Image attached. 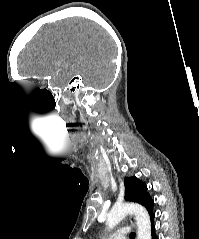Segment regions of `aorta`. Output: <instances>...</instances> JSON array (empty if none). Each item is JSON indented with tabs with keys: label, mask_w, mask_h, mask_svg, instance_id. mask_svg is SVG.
<instances>
[{
	"label": "aorta",
	"mask_w": 199,
	"mask_h": 239,
	"mask_svg": "<svg viewBox=\"0 0 199 239\" xmlns=\"http://www.w3.org/2000/svg\"><path fill=\"white\" fill-rule=\"evenodd\" d=\"M128 214H134L137 224V239H151V224L147 210L134 203L115 204L106 219L108 229L117 226Z\"/></svg>",
	"instance_id": "obj_1"
}]
</instances>
